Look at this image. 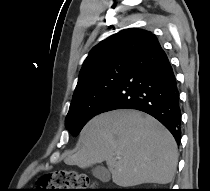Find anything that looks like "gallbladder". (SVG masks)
<instances>
[{
    "label": "gallbladder",
    "mask_w": 210,
    "mask_h": 191,
    "mask_svg": "<svg viewBox=\"0 0 210 191\" xmlns=\"http://www.w3.org/2000/svg\"><path fill=\"white\" fill-rule=\"evenodd\" d=\"M93 175L100 180H108L110 178V175L108 174V171L102 167V166H96L93 170Z\"/></svg>",
    "instance_id": "obj_1"
}]
</instances>
